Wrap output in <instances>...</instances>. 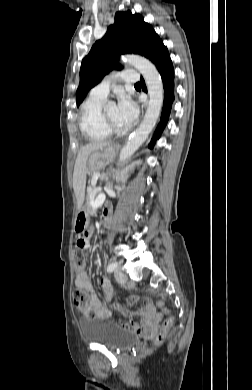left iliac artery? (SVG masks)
Here are the masks:
<instances>
[{"mask_svg": "<svg viewBox=\"0 0 252 390\" xmlns=\"http://www.w3.org/2000/svg\"><path fill=\"white\" fill-rule=\"evenodd\" d=\"M118 266L117 262H112L111 264L108 265L107 267V272H113Z\"/></svg>", "mask_w": 252, "mask_h": 390, "instance_id": "44dca946", "label": "left iliac artery"}]
</instances>
